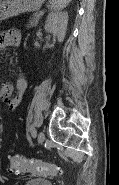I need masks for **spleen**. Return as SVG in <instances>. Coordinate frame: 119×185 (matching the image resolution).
I'll use <instances>...</instances> for the list:
<instances>
[{
    "instance_id": "1",
    "label": "spleen",
    "mask_w": 119,
    "mask_h": 185,
    "mask_svg": "<svg viewBox=\"0 0 119 185\" xmlns=\"http://www.w3.org/2000/svg\"><path fill=\"white\" fill-rule=\"evenodd\" d=\"M71 0H50V8L54 11H60L64 9Z\"/></svg>"
}]
</instances>
